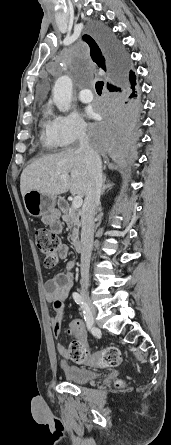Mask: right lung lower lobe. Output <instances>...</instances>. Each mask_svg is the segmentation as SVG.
Listing matches in <instances>:
<instances>
[{
	"instance_id": "1",
	"label": "right lung lower lobe",
	"mask_w": 171,
	"mask_h": 445,
	"mask_svg": "<svg viewBox=\"0 0 171 445\" xmlns=\"http://www.w3.org/2000/svg\"><path fill=\"white\" fill-rule=\"evenodd\" d=\"M99 40L118 73L116 84L108 87L109 94L102 100V122L90 128L93 149L116 163L128 162L134 155L137 142L140 98L136 76L131 70L128 54L119 41L109 32H99Z\"/></svg>"
}]
</instances>
